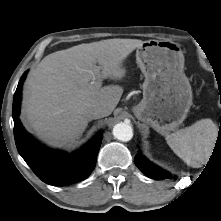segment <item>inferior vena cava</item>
<instances>
[{
  "mask_svg": "<svg viewBox=\"0 0 221 221\" xmlns=\"http://www.w3.org/2000/svg\"><path fill=\"white\" fill-rule=\"evenodd\" d=\"M101 108L99 107H92V108H88L86 111H85V115L86 117L89 119V120H92V119H97L101 116Z\"/></svg>",
  "mask_w": 221,
  "mask_h": 221,
  "instance_id": "obj_1",
  "label": "inferior vena cava"
}]
</instances>
